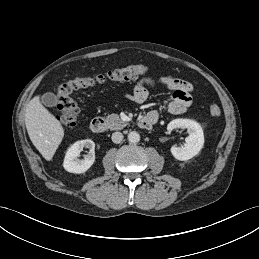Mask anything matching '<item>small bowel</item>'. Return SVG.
<instances>
[{
  "instance_id": "1",
  "label": "small bowel",
  "mask_w": 259,
  "mask_h": 259,
  "mask_svg": "<svg viewBox=\"0 0 259 259\" xmlns=\"http://www.w3.org/2000/svg\"><path fill=\"white\" fill-rule=\"evenodd\" d=\"M163 87L172 91V99L167 104V110L172 114H181L185 112L192 104V85L180 78L174 76H162L154 79L145 77L138 81L131 94L127 98L137 104L144 103L149 95V89ZM147 116L158 118L156 110L150 111Z\"/></svg>"
}]
</instances>
